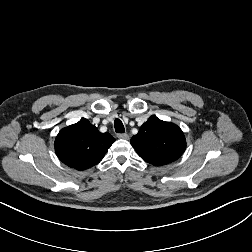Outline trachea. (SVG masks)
<instances>
[{
	"label": "trachea",
	"mask_w": 252,
	"mask_h": 252,
	"mask_svg": "<svg viewBox=\"0 0 252 252\" xmlns=\"http://www.w3.org/2000/svg\"><path fill=\"white\" fill-rule=\"evenodd\" d=\"M114 127H115V131L117 133H124L125 132L124 125H123L122 121L118 118L115 119V121H114Z\"/></svg>",
	"instance_id": "obj_1"
}]
</instances>
